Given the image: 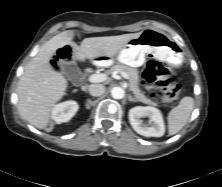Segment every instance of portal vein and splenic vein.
Wrapping results in <instances>:
<instances>
[{
  "instance_id": "18ae733b",
  "label": "portal vein and splenic vein",
  "mask_w": 222,
  "mask_h": 187,
  "mask_svg": "<svg viewBox=\"0 0 222 187\" xmlns=\"http://www.w3.org/2000/svg\"><path fill=\"white\" fill-rule=\"evenodd\" d=\"M120 74L124 79H128V75L125 72H120ZM107 79H108V76L107 74H104V73H96L88 77L89 82H92V83L104 82Z\"/></svg>"
}]
</instances>
